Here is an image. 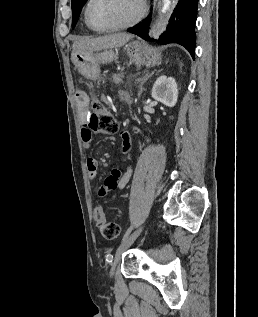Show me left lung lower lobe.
<instances>
[{"instance_id":"0a47b994","label":"left lung lower lobe","mask_w":258,"mask_h":317,"mask_svg":"<svg viewBox=\"0 0 258 317\" xmlns=\"http://www.w3.org/2000/svg\"><path fill=\"white\" fill-rule=\"evenodd\" d=\"M199 0H179L172 14L167 30L156 40L160 44L177 43L184 46L194 58L195 49V23ZM150 16L143 22L130 28V33L141 38L154 41L148 36Z\"/></svg>"}]
</instances>
